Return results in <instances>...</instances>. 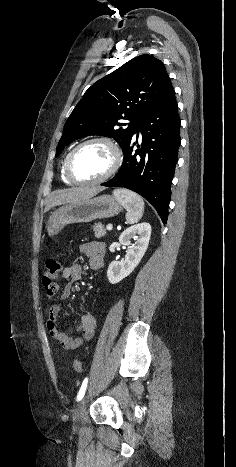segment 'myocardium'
Listing matches in <instances>:
<instances>
[{"label":"myocardium","mask_w":236,"mask_h":467,"mask_svg":"<svg viewBox=\"0 0 236 467\" xmlns=\"http://www.w3.org/2000/svg\"><path fill=\"white\" fill-rule=\"evenodd\" d=\"M96 143L104 144L108 146L109 149L111 150L112 157H113L111 167L106 172V174H104L100 178H97L95 180H90V181L79 180L73 173V169H72L73 160L79 150H81L87 145L96 144ZM122 161H123V156H122L121 149L113 139L109 137H105V136L94 137V138L88 139L80 143L69 153L68 158L66 160V164H65V175L67 179L71 181L73 184H77V185L100 184V183H103L109 180L111 177H113L118 172V170L120 169L122 165Z\"/></svg>","instance_id":"myocardium-1"}]
</instances>
